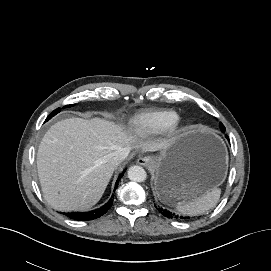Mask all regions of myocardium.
Instances as JSON below:
<instances>
[{
  "label": "myocardium",
  "instance_id": "f54148a6",
  "mask_svg": "<svg viewBox=\"0 0 271 271\" xmlns=\"http://www.w3.org/2000/svg\"><path fill=\"white\" fill-rule=\"evenodd\" d=\"M174 128H179L180 126V121L177 119L176 122L172 125Z\"/></svg>",
  "mask_w": 271,
  "mask_h": 271
}]
</instances>
